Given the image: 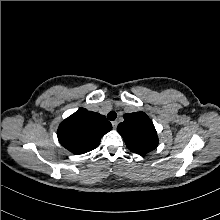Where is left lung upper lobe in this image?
I'll use <instances>...</instances> for the list:
<instances>
[{
	"instance_id": "left-lung-upper-lobe-1",
	"label": "left lung upper lobe",
	"mask_w": 220,
	"mask_h": 220,
	"mask_svg": "<svg viewBox=\"0 0 220 220\" xmlns=\"http://www.w3.org/2000/svg\"><path fill=\"white\" fill-rule=\"evenodd\" d=\"M117 127L126 146L134 153L144 155L158 145V137L153 122L144 112L127 113Z\"/></svg>"
}]
</instances>
